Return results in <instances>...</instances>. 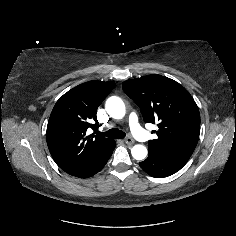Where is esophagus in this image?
I'll return each mask as SVG.
<instances>
[{"label": "esophagus", "mask_w": 236, "mask_h": 236, "mask_svg": "<svg viewBox=\"0 0 236 236\" xmlns=\"http://www.w3.org/2000/svg\"><path fill=\"white\" fill-rule=\"evenodd\" d=\"M124 141H125V143L128 144V145L134 144V139L131 138V137L125 138Z\"/></svg>", "instance_id": "34e87169"}]
</instances>
